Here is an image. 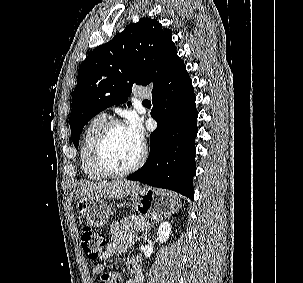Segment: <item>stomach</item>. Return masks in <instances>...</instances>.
I'll list each match as a JSON object with an SVG mask.
<instances>
[{"label": "stomach", "mask_w": 303, "mask_h": 283, "mask_svg": "<svg viewBox=\"0 0 303 283\" xmlns=\"http://www.w3.org/2000/svg\"><path fill=\"white\" fill-rule=\"evenodd\" d=\"M133 197L136 208L145 215H168L181 207L180 198L176 194L150 187L135 190ZM76 208L80 217L93 227L103 226L112 213L104 198L80 197Z\"/></svg>", "instance_id": "0dacf381"}]
</instances>
